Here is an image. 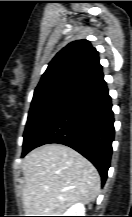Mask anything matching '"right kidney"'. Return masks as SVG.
<instances>
[{"label": "right kidney", "mask_w": 132, "mask_h": 217, "mask_svg": "<svg viewBox=\"0 0 132 217\" xmlns=\"http://www.w3.org/2000/svg\"><path fill=\"white\" fill-rule=\"evenodd\" d=\"M63 216H85V207L80 203L75 204Z\"/></svg>", "instance_id": "right-kidney-1"}]
</instances>
